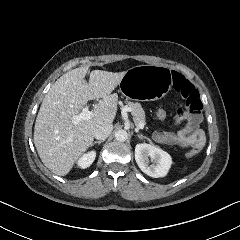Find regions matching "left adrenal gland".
Masks as SVG:
<instances>
[{"mask_svg": "<svg viewBox=\"0 0 240 240\" xmlns=\"http://www.w3.org/2000/svg\"><path fill=\"white\" fill-rule=\"evenodd\" d=\"M138 137L141 138V139H148L149 140V138H147L146 136H143L142 134H138Z\"/></svg>", "mask_w": 240, "mask_h": 240, "instance_id": "1", "label": "left adrenal gland"}]
</instances>
